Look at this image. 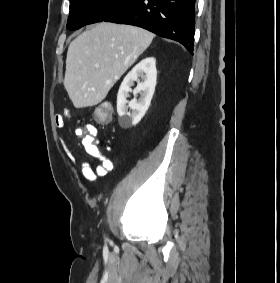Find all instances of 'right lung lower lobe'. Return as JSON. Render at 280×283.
<instances>
[{
	"mask_svg": "<svg viewBox=\"0 0 280 283\" xmlns=\"http://www.w3.org/2000/svg\"><path fill=\"white\" fill-rule=\"evenodd\" d=\"M196 0H132L104 19L147 29L193 53Z\"/></svg>",
	"mask_w": 280,
	"mask_h": 283,
	"instance_id": "right-lung-lower-lobe-1",
	"label": "right lung lower lobe"
}]
</instances>
